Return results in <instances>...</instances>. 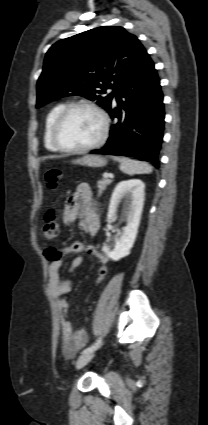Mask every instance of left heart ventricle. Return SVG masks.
Segmentation results:
<instances>
[{"label":"left heart ventricle","instance_id":"obj_1","mask_svg":"<svg viewBox=\"0 0 208 425\" xmlns=\"http://www.w3.org/2000/svg\"><path fill=\"white\" fill-rule=\"evenodd\" d=\"M101 132L99 117L92 111L79 108L64 119L58 139L66 147L81 148L96 141Z\"/></svg>","mask_w":208,"mask_h":425}]
</instances>
